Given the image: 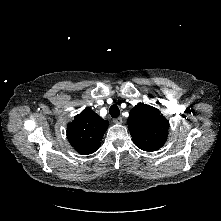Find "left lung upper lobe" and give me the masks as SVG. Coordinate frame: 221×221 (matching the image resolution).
I'll list each match as a JSON object with an SVG mask.
<instances>
[{"mask_svg": "<svg viewBox=\"0 0 221 221\" xmlns=\"http://www.w3.org/2000/svg\"><path fill=\"white\" fill-rule=\"evenodd\" d=\"M128 128L134 144L144 151H155L167 140L169 122L152 106L139 103L129 113Z\"/></svg>", "mask_w": 221, "mask_h": 221, "instance_id": "1", "label": "left lung upper lobe"}]
</instances>
